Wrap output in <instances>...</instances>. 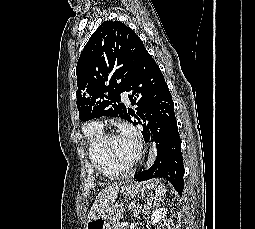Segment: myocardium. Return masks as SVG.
I'll return each mask as SVG.
<instances>
[{
	"label": "myocardium",
	"instance_id": "f54148a6",
	"mask_svg": "<svg viewBox=\"0 0 255 229\" xmlns=\"http://www.w3.org/2000/svg\"><path fill=\"white\" fill-rule=\"evenodd\" d=\"M115 136H118L117 133H115V132L103 133V135L99 139L97 149H98V152L100 153V155L104 159H106V161L109 163L110 166H112L113 168H115L117 170H121L123 173V171L129 170L138 162V160L140 159L141 153H142V148H141L140 144H137L136 154L133 157V159L128 162H119V161L113 160L107 151V143H108L109 139H111Z\"/></svg>",
	"mask_w": 255,
	"mask_h": 229
}]
</instances>
